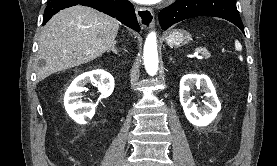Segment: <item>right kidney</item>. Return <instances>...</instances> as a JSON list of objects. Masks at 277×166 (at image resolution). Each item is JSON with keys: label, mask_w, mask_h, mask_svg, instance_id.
<instances>
[{"label": "right kidney", "mask_w": 277, "mask_h": 166, "mask_svg": "<svg viewBox=\"0 0 277 166\" xmlns=\"http://www.w3.org/2000/svg\"><path fill=\"white\" fill-rule=\"evenodd\" d=\"M94 82L100 88L101 97H109L114 89V78L102 70H94L78 76L66 90L64 96V106L68 115L79 124H86L87 118H92L95 113V105L83 103L82 96L84 85L88 82Z\"/></svg>", "instance_id": "right-kidney-1"}]
</instances>
